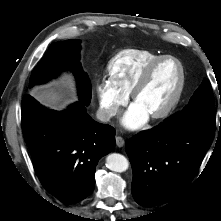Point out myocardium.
Wrapping results in <instances>:
<instances>
[{
  "label": "myocardium",
  "instance_id": "f54148a6",
  "mask_svg": "<svg viewBox=\"0 0 221 221\" xmlns=\"http://www.w3.org/2000/svg\"><path fill=\"white\" fill-rule=\"evenodd\" d=\"M166 60H173L177 63L179 67V71H180V79H179L176 92L174 96L172 97V99L168 102V104L165 107H163L161 110H159L158 112L150 115L151 118L153 119H163L167 117L177 107L179 101L181 100L184 89H185V85H186V70H185L183 63L177 57L172 56V55H162L154 59L145 68V70L143 71V73L141 74V76L139 77V79L137 80L136 84L134 85L131 91L132 100L135 102L139 93L148 84L155 68Z\"/></svg>",
  "mask_w": 221,
  "mask_h": 221
}]
</instances>
